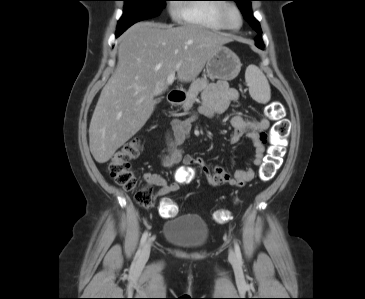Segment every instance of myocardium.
<instances>
[{
    "mask_svg": "<svg viewBox=\"0 0 365 299\" xmlns=\"http://www.w3.org/2000/svg\"><path fill=\"white\" fill-rule=\"evenodd\" d=\"M231 10L235 11L238 16L239 23L237 26H231L227 23V15H228V12ZM218 20L223 29H225L227 31H231V32L238 31L242 27L243 22H244L242 11L233 2H226V3L222 4V6L219 9Z\"/></svg>",
    "mask_w": 365,
    "mask_h": 299,
    "instance_id": "1",
    "label": "myocardium"
}]
</instances>
